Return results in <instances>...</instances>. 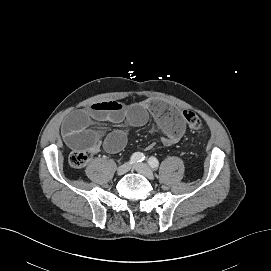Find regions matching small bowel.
<instances>
[{
  "label": "small bowel",
  "instance_id": "small-bowel-1",
  "mask_svg": "<svg viewBox=\"0 0 271 271\" xmlns=\"http://www.w3.org/2000/svg\"><path fill=\"white\" fill-rule=\"evenodd\" d=\"M149 114L155 118L166 135L163 139L164 145L171 146L179 141L185 131L184 118L176 109L157 100L127 109L115 101L98 102L87 109L72 113L64 121L62 131L67 144L72 148L95 152L102 145L107 152L116 153L125 146L127 133L114 130L104 136L101 131L91 129V123L126 121L131 125L141 126L147 122Z\"/></svg>",
  "mask_w": 271,
  "mask_h": 271
}]
</instances>
